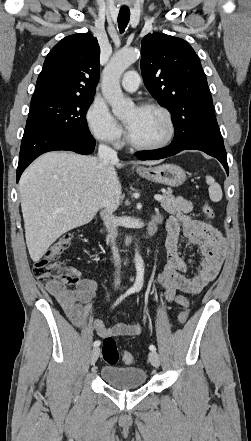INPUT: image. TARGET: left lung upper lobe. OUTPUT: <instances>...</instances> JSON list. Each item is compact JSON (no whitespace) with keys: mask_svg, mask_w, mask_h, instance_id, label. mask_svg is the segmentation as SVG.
<instances>
[{"mask_svg":"<svg viewBox=\"0 0 251 441\" xmlns=\"http://www.w3.org/2000/svg\"><path fill=\"white\" fill-rule=\"evenodd\" d=\"M144 84L172 115L175 130L197 115L215 116L200 59L183 39L148 34L141 42Z\"/></svg>","mask_w":251,"mask_h":441,"instance_id":"left-lung-upper-lobe-1","label":"left lung upper lobe"}]
</instances>
